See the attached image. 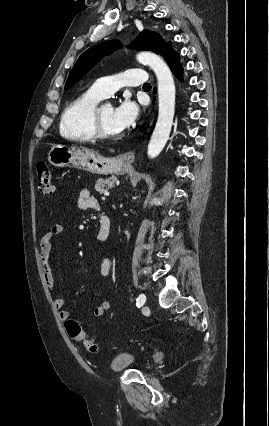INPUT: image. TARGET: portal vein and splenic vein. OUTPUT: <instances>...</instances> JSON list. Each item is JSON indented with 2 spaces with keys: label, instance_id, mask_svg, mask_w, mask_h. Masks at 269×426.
<instances>
[{
  "label": "portal vein and splenic vein",
  "instance_id": "1",
  "mask_svg": "<svg viewBox=\"0 0 269 426\" xmlns=\"http://www.w3.org/2000/svg\"><path fill=\"white\" fill-rule=\"evenodd\" d=\"M104 195H105V196H109V192H107V191H106V192H104Z\"/></svg>",
  "mask_w": 269,
  "mask_h": 426
}]
</instances>
